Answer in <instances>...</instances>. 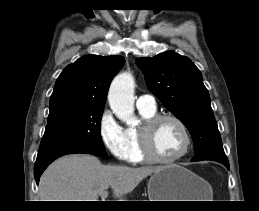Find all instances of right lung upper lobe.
Instances as JSON below:
<instances>
[{
	"label": "right lung upper lobe",
	"instance_id": "1",
	"mask_svg": "<svg viewBox=\"0 0 259 211\" xmlns=\"http://www.w3.org/2000/svg\"><path fill=\"white\" fill-rule=\"evenodd\" d=\"M124 61L121 56L86 55L68 65L55 83L48 118L72 109H104L109 85Z\"/></svg>",
	"mask_w": 259,
	"mask_h": 211
}]
</instances>
